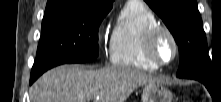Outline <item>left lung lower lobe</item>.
I'll return each instance as SVG.
<instances>
[{"instance_id":"1","label":"left lung lower lobe","mask_w":221,"mask_h":102,"mask_svg":"<svg viewBox=\"0 0 221 102\" xmlns=\"http://www.w3.org/2000/svg\"><path fill=\"white\" fill-rule=\"evenodd\" d=\"M202 83L209 89L210 86H211V79L205 80V81H203Z\"/></svg>"}]
</instances>
